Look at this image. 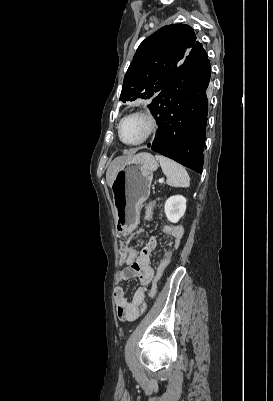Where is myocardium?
<instances>
[{"label": "myocardium", "instance_id": "obj_1", "mask_svg": "<svg viewBox=\"0 0 273 401\" xmlns=\"http://www.w3.org/2000/svg\"><path fill=\"white\" fill-rule=\"evenodd\" d=\"M131 116H135V117H140L143 120H145L147 122L148 125V129L146 134L139 139L136 142H125L122 140L121 135H120V128H121V124L123 123V121ZM159 130V121L157 119V117L150 111L147 110H136L133 112L128 113L127 115H125L124 117H122L119 122L117 123L116 126V133H117V137L119 139V141L124 144L125 146H129V147H133V146H138L141 145L145 142H147L148 140H150L153 136H155L157 134Z\"/></svg>", "mask_w": 273, "mask_h": 401}]
</instances>
